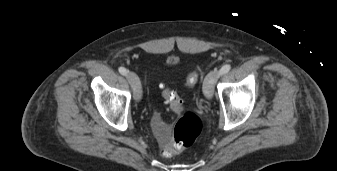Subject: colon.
Segmentation results:
<instances>
[{
	"label": "colon",
	"instance_id": "colon-1",
	"mask_svg": "<svg viewBox=\"0 0 337 171\" xmlns=\"http://www.w3.org/2000/svg\"><path fill=\"white\" fill-rule=\"evenodd\" d=\"M197 79V72L190 73L186 78V86L193 87ZM162 94L170 109L177 115V121L171 138L162 123L157 121L154 129L161 144L162 155L171 157L194 143L202 132L203 124L198 115L184 110L182 100L176 92L168 88H162Z\"/></svg>",
	"mask_w": 337,
	"mask_h": 171
}]
</instances>
